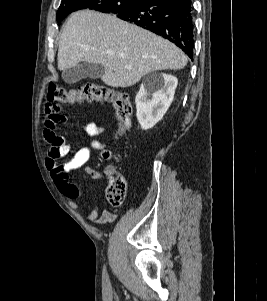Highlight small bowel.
Masks as SVG:
<instances>
[{
    "label": "small bowel",
    "instance_id": "small-bowel-1",
    "mask_svg": "<svg viewBox=\"0 0 267 301\" xmlns=\"http://www.w3.org/2000/svg\"><path fill=\"white\" fill-rule=\"evenodd\" d=\"M46 115L43 134L48 143L46 167L59 192L67 199L68 204L74 210L77 209L76 201L81 198V191L70 181L69 173L73 170L83 169L84 173L94 180H101L102 174L96 169L86 166L93 150H101L105 147L104 142L97 137L107 131L106 126H100L95 122L84 126L85 133L91 138L82 148L77 150L68 161H61L70 151L69 144L56 132L57 125L65 121L58 104L48 100L45 104ZM96 225L111 223L116 219L115 213L109 210L92 208L85 217Z\"/></svg>",
    "mask_w": 267,
    "mask_h": 301
}]
</instances>
